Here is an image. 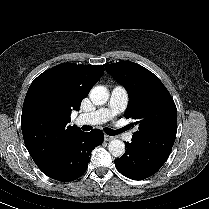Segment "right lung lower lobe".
Here are the masks:
<instances>
[{"label":"right lung lower lobe","instance_id":"98d812e1","mask_svg":"<svg viewBox=\"0 0 209 209\" xmlns=\"http://www.w3.org/2000/svg\"><path fill=\"white\" fill-rule=\"evenodd\" d=\"M103 133L93 129L89 133L79 132L61 151L40 170L48 177L61 181H73L84 174L90 160V152L99 146Z\"/></svg>","mask_w":209,"mask_h":209}]
</instances>
